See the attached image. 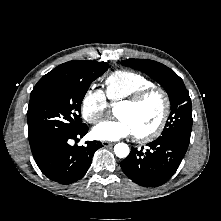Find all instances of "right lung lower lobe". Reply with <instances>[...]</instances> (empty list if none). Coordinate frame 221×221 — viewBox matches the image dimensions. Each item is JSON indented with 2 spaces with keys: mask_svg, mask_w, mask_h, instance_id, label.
I'll use <instances>...</instances> for the list:
<instances>
[{
  "mask_svg": "<svg viewBox=\"0 0 221 221\" xmlns=\"http://www.w3.org/2000/svg\"><path fill=\"white\" fill-rule=\"evenodd\" d=\"M88 130L84 124L69 134L53 137L32 149L35 162L46 177L61 184H71L86 174L94 152L103 146L102 143L87 141L86 146H71L69 142L70 139L82 138Z\"/></svg>",
  "mask_w": 221,
  "mask_h": 221,
  "instance_id": "obj_1",
  "label": "right lung lower lobe"
}]
</instances>
